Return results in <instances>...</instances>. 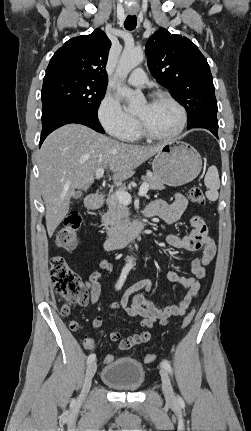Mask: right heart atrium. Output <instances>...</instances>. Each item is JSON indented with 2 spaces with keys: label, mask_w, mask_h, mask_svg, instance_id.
Returning <instances> with one entry per match:
<instances>
[{
  "label": "right heart atrium",
  "mask_w": 251,
  "mask_h": 431,
  "mask_svg": "<svg viewBox=\"0 0 251 431\" xmlns=\"http://www.w3.org/2000/svg\"><path fill=\"white\" fill-rule=\"evenodd\" d=\"M97 117L107 133L120 139H127L137 126L135 118L122 108L115 96L109 93L101 99Z\"/></svg>",
  "instance_id": "d8ad5b80"
}]
</instances>
